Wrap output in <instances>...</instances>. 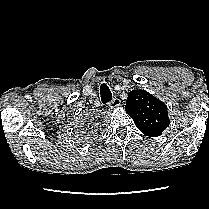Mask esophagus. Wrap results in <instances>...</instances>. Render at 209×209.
<instances>
[{"label":"esophagus","instance_id":"34e87169","mask_svg":"<svg viewBox=\"0 0 209 209\" xmlns=\"http://www.w3.org/2000/svg\"><path fill=\"white\" fill-rule=\"evenodd\" d=\"M121 105V101L118 98H113L112 101L109 103V108L114 109Z\"/></svg>","mask_w":209,"mask_h":209}]
</instances>
